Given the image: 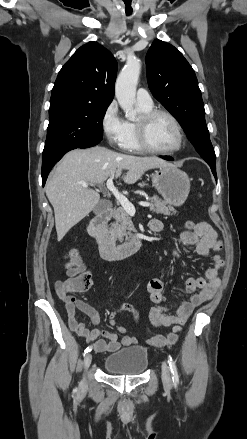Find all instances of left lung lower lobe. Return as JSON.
Listing matches in <instances>:
<instances>
[{
	"instance_id": "obj_1",
	"label": "left lung lower lobe",
	"mask_w": 247,
	"mask_h": 439,
	"mask_svg": "<svg viewBox=\"0 0 247 439\" xmlns=\"http://www.w3.org/2000/svg\"><path fill=\"white\" fill-rule=\"evenodd\" d=\"M163 159H165V160H168V161H173L174 159L172 158V157H170V156H164V157H162ZM211 170H212V172H213V174H214V176H215V179L217 180V176H216V167H211Z\"/></svg>"
}]
</instances>
